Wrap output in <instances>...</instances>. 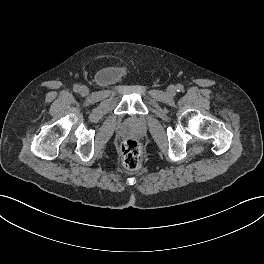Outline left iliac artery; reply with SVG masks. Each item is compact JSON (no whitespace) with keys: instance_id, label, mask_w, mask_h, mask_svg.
I'll return each instance as SVG.
<instances>
[{"instance_id":"1","label":"left iliac artery","mask_w":264,"mask_h":264,"mask_svg":"<svg viewBox=\"0 0 264 264\" xmlns=\"http://www.w3.org/2000/svg\"><path fill=\"white\" fill-rule=\"evenodd\" d=\"M176 89H177L178 92L183 91V86L181 84H178L176 86Z\"/></svg>"}]
</instances>
